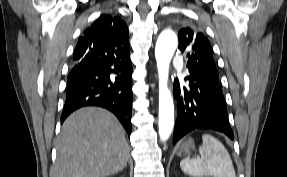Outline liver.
<instances>
[{
  "label": "liver",
  "mask_w": 287,
  "mask_h": 177,
  "mask_svg": "<svg viewBox=\"0 0 287 177\" xmlns=\"http://www.w3.org/2000/svg\"><path fill=\"white\" fill-rule=\"evenodd\" d=\"M53 177H106L129 159L125 131L109 111L81 108L63 123L56 143Z\"/></svg>",
  "instance_id": "1"
}]
</instances>
